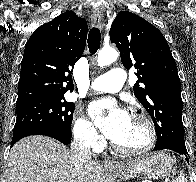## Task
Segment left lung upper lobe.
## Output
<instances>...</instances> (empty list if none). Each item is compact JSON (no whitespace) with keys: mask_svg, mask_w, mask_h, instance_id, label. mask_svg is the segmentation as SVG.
Instances as JSON below:
<instances>
[{"mask_svg":"<svg viewBox=\"0 0 196 182\" xmlns=\"http://www.w3.org/2000/svg\"><path fill=\"white\" fill-rule=\"evenodd\" d=\"M109 34L124 67L137 69L134 95L154 122L156 144L185 143L181 84L165 37L148 21L128 11L118 13Z\"/></svg>","mask_w":196,"mask_h":182,"instance_id":"5c2ea615","label":"left lung upper lobe"}]
</instances>
